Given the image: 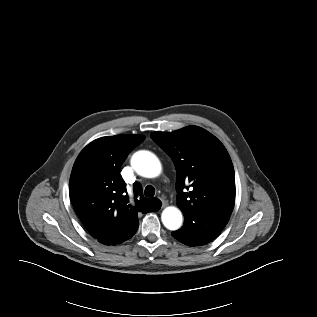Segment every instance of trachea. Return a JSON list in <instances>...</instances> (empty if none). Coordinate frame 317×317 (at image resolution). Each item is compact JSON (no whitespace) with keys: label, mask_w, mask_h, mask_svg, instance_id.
Returning a JSON list of instances; mask_svg holds the SVG:
<instances>
[{"label":"trachea","mask_w":317,"mask_h":317,"mask_svg":"<svg viewBox=\"0 0 317 317\" xmlns=\"http://www.w3.org/2000/svg\"><path fill=\"white\" fill-rule=\"evenodd\" d=\"M144 194H145V196H147V197H153V196L155 195V189H154V187L151 186V185H148V186L145 188Z\"/></svg>","instance_id":"obj_1"}]
</instances>
